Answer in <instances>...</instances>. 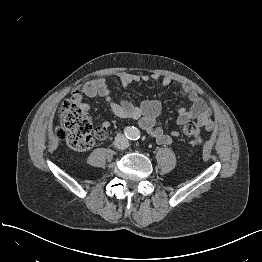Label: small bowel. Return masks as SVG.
<instances>
[{
	"instance_id": "obj_1",
	"label": "small bowel",
	"mask_w": 262,
	"mask_h": 262,
	"mask_svg": "<svg viewBox=\"0 0 262 262\" xmlns=\"http://www.w3.org/2000/svg\"><path fill=\"white\" fill-rule=\"evenodd\" d=\"M117 77L122 87H127L133 83H147L152 80L159 81L164 88L174 84V79L170 76L159 79L157 76L148 74H133L122 71L117 73ZM179 93L188 99L189 105L177 110L176 123L180 125L186 121H195L199 127L206 131L214 130L215 120L206 102L198 92L188 84H181ZM73 96L75 98L85 96L90 99L104 98L116 116L139 119L141 127L159 144H170L179 137L178 131H172L167 134L157 125L162 111V105L159 101L145 100L136 105L124 98L114 100L112 91L103 78H96L80 85L75 89ZM110 126L111 123L109 121L102 123L101 127L96 131V136L99 140L107 137V130Z\"/></svg>"
}]
</instances>
